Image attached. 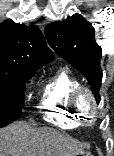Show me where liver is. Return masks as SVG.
Wrapping results in <instances>:
<instances>
[{"mask_svg": "<svg viewBox=\"0 0 114 156\" xmlns=\"http://www.w3.org/2000/svg\"><path fill=\"white\" fill-rule=\"evenodd\" d=\"M85 147L50 127L15 122L0 129V156H75Z\"/></svg>", "mask_w": 114, "mask_h": 156, "instance_id": "6515ba94", "label": "liver"}]
</instances>
